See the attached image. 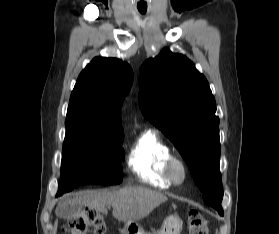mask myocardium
<instances>
[{"label": "myocardium", "instance_id": "obj_1", "mask_svg": "<svg viewBox=\"0 0 279 234\" xmlns=\"http://www.w3.org/2000/svg\"><path fill=\"white\" fill-rule=\"evenodd\" d=\"M165 173L171 184L180 185L187 177V165L180 157L171 155L165 163Z\"/></svg>", "mask_w": 279, "mask_h": 234}]
</instances>
